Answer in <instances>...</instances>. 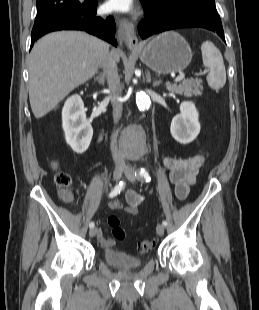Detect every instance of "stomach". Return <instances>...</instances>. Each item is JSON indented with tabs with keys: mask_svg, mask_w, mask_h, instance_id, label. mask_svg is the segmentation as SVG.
<instances>
[{
	"mask_svg": "<svg viewBox=\"0 0 259 310\" xmlns=\"http://www.w3.org/2000/svg\"><path fill=\"white\" fill-rule=\"evenodd\" d=\"M140 59L150 69L159 74L181 72L192 59V51L187 41L178 33H162L138 49Z\"/></svg>",
	"mask_w": 259,
	"mask_h": 310,
	"instance_id": "0dacf381",
	"label": "stomach"
}]
</instances>
